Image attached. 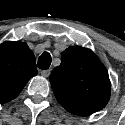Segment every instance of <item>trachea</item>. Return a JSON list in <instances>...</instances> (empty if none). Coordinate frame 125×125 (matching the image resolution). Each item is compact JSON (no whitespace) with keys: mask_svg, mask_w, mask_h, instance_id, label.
Returning a JSON list of instances; mask_svg holds the SVG:
<instances>
[{"mask_svg":"<svg viewBox=\"0 0 125 125\" xmlns=\"http://www.w3.org/2000/svg\"><path fill=\"white\" fill-rule=\"evenodd\" d=\"M51 55L48 52H44L38 59L37 67L46 70L51 64Z\"/></svg>","mask_w":125,"mask_h":125,"instance_id":"1","label":"trachea"}]
</instances>
